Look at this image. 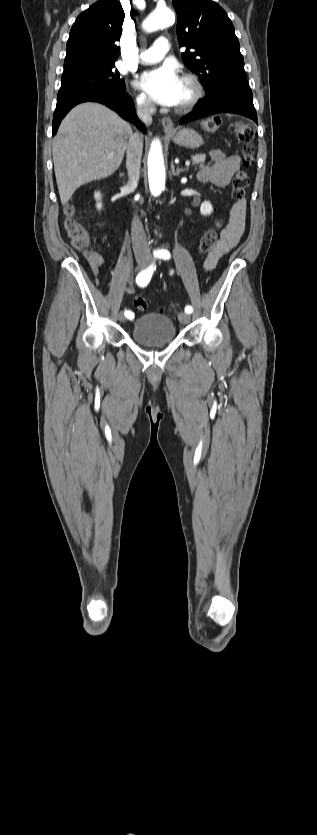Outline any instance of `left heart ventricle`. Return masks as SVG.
<instances>
[{
  "mask_svg": "<svg viewBox=\"0 0 317 835\" xmlns=\"http://www.w3.org/2000/svg\"><path fill=\"white\" fill-rule=\"evenodd\" d=\"M189 95H190V90H189L188 86L186 85V83L182 81L181 91H180V96H179V102H178L177 105L182 104L185 100H187Z\"/></svg>",
  "mask_w": 317,
  "mask_h": 835,
  "instance_id": "1",
  "label": "left heart ventricle"
}]
</instances>
